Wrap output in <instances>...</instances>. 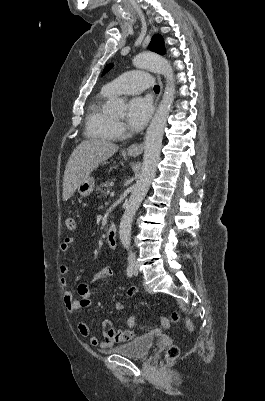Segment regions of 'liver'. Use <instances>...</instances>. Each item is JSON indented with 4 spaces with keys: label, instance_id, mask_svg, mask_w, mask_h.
I'll use <instances>...</instances> for the list:
<instances>
[{
    "label": "liver",
    "instance_id": "liver-1",
    "mask_svg": "<svg viewBox=\"0 0 265 401\" xmlns=\"http://www.w3.org/2000/svg\"><path fill=\"white\" fill-rule=\"evenodd\" d=\"M118 148L119 146L110 140H100V138L82 140L69 156L64 170L63 201H68L85 176H89L103 160H108Z\"/></svg>",
    "mask_w": 265,
    "mask_h": 401
}]
</instances>
